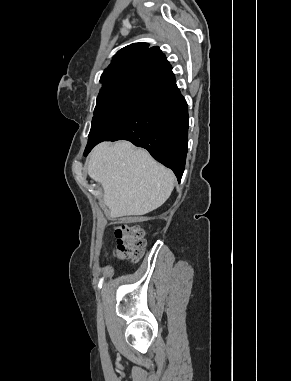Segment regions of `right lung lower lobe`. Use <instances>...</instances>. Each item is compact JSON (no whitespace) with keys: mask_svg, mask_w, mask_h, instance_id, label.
<instances>
[{"mask_svg":"<svg viewBox=\"0 0 291 381\" xmlns=\"http://www.w3.org/2000/svg\"><path fill=\"white\" fill-rule=\"evenodd\" d=\"M120 128L115 140H128L147 149L172 169L180 182L188 148V110L171 65L142 78ZM96 144L87 147L84 154Z\"/></svg>","mask_w":291,"mask_h":381,"instance_id":"right-lung-lower-lobe-1","label":"right lung lower lobe"}]
</instances>
